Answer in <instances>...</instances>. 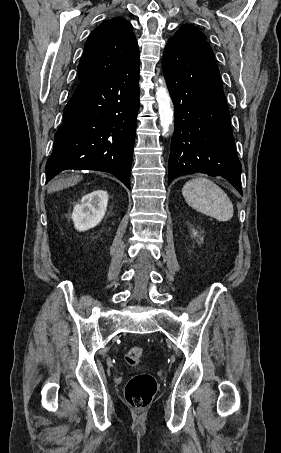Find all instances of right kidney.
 Segmentation results:
<instances>
[{"mask_svg":"<svg viewBox=\"0 0 281 453\" xmlns=\"http://www.w3.org/2000/svg\"><path fill=\"white\" fill-rule=\"evenodd\" d=\"M107 202V190H93L89 194H84L73 208L71 218L75 229L88 231L96 227L106 212Z\"/></svg>","mask_w":281,"mask_h":453,"instance_id":"1","label":"right kidney"}]
</instances>
